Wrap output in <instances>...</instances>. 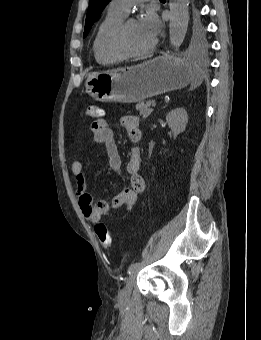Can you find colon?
Listing matches in <instances>:
<instances>
[{
    "label": "colon",
    "instance_id": "1",
    "mask_svg": "<svg viewBox=\"0 0 261 340\" xmlns=\"http://www.w3.org/2000/svg\"><path fill=\"white\" fill-rule=\"evenodd\" d=\"M84 115L89 118L101 117L103 111L98 106L89 104L84 109ZM94 229L101 245L105 248H109L112 244V237L107 226L103 223H97Z\"/></svg>",
    "mask_w": 261,
    "mask_h": 340
}]
</instances>
